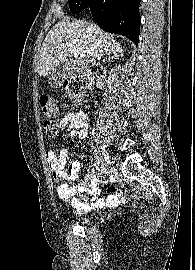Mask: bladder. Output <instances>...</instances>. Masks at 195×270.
Instances as JSON below:
<instances>
[{
  "label": "bladder",
  "mask_w": 195,
  "mask_h": 270,
  "mask_svg": "<svg viewBox=\"0 0 195 270\" xmlns=\"http://www.w3.org/2000/svg\"><path fill=\"white\" fill-rule=\"evenodd\" d=\"M92 219V216H85V217H82L79 222L82 223V224H87L90 222V220Z\"/></svg>",
  "instance_id": "31cf9c89"
}]
</instances>
